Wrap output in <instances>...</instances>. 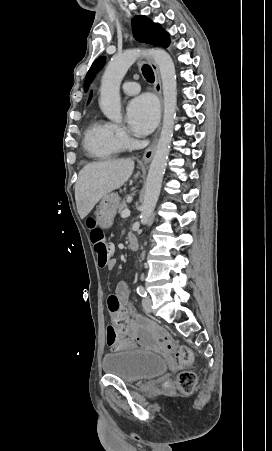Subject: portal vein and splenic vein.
Returning <instances> with one entry per match:
<instances>
[{
  "mask_svg": "<svg viewBox=\"0 0 272 451\" xmlns=\"http://www.w3.org/2000/svg\"><path fill=\"white\" fill-rule=\"evenodd\" d=\"M128 216H130V210H123L121 212V218H128Z\"/></svg>",
  "mask_w": 272,
  "mask_h": 451,
  "instance_id": "obj_1",
  "label": "portal vein and splenic vein"
}]
</instances>
